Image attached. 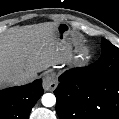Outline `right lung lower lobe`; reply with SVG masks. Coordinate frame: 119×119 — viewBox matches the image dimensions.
Instances as JSON below:
<instances>
[{
	"instance_id": "obj_1",
	"label": "right lung lower lobe",
	"mask_w": 119,
	"mask_h": 119,
	"mask_svg": "<svg viewBox=\"0 0 119 119\" xmlns=\"http://www.w3.org/2000/svg\"><path fill=\"white\" fill-rule=\"evenodd\" d=\"M43 93L41 79L0 91V119H28Z\"/></svg>"
}]
</instances>
